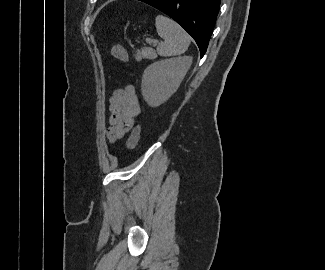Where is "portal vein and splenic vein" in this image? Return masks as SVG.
<instances>
[{
    "instance_id": "18ae733b",
    "label": "portal vein and splenic vein",
    "mask_w": 325,
    "mask_h": 270,
    "mask_svg": "<svg viewBox=\"0 0 325 270\" xmlns=\"http://www.w3.org/2000/svg\"><path fill=\"white\" fill-rule=\"evenodd\" d=\"M146 42H147L148 44H150V45H152V44L156 45V44L159 43L158 40H151V39H149V38L146 39Z\"/></svg>"
}]
</instances>
